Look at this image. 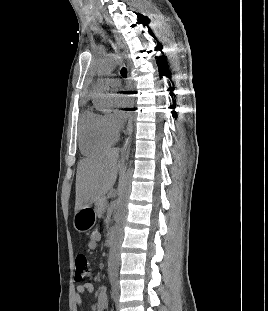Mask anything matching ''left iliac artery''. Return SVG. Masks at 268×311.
<instances>
[{
    "label": "left iliac artery",
    "instance_id": "1",
    "mask_svg": "<svg viewBox=\"0 0 268 311\" xmlns=\"http://www.w3.org/2000/svg\"><path fill=\"white\" fill-rule=\"evenodd\" d=\"M111 285H112V296H113V299L115 301V303L118 302V297H119V291H118V283L115 279H113L111 281Z\"/></svg>",
    "mask_w": 268,
    "mask_h": 311
}]
</instances>
